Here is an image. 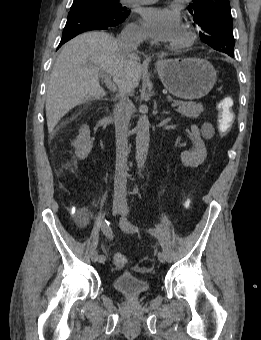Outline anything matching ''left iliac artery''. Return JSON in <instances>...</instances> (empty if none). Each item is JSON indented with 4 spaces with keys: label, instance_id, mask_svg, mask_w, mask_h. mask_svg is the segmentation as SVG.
I'll list each match as a JSON object with an SVG mask.
<instances>
[{
    "label": "left iliac artery",
    "instance_id": "obj_1",
    "mask_svg": "<svg viewBox=\"0 0 261 340\" xmlns=\"http://www.w3.org/2000/svg\"><path fill=\"white\" fill-rule=\"evenodd\" d=\"M124 227L127 231H130V232L139 231V227L132 224L127 219L124 222ZM149 232L157 238L160 244V247L162 249V252L165 255L167 261H171L173 259V256L163 236L158 231H155V230H149Z\"/></svg>",
    "mask_w": 261,
    "mask_h": 340
}]
</instances>
